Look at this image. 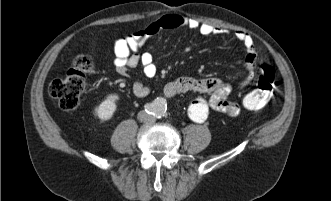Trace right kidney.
<instances>
[{"mask_svg":"<svg viewBox=\"0 0 331 201\" xmlns=\"http://www.w3.org/2000/svg\"><path fill=\"white\" fill-rule=\"evenodd\" d=\"M119 99L117 94H110L107 98L94 109V115L102 121L110 120L116 111V101Z\"/></svg>","mask_w":331,"mask_h":201,"instance_id":"right-kidney-1","label":"right kidney"}]
</instances>
